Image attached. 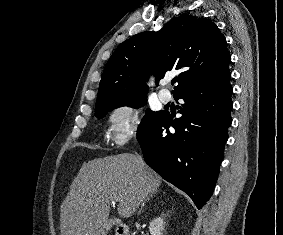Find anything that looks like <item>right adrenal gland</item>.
<instances>
[{
	"mask_svg": "<svg viewBox=\"0 0 283 235\" xmlns=\"http://www.w3.org/2000/svg\"><path fill=\"white\" fill-rule=\"evenodd\" d=\"M152 196H153V194H150V195L144 200V202H143L142 205H141L140 212H141V210L143 209V207L145 206V203H146Z\"/></svg>",
	"mask_w": 283,
	"mask_h": 235,
	"instance_id": "right-adrenal-gland-1",
	"label": "right adrenal gland"
}]
</instances>
